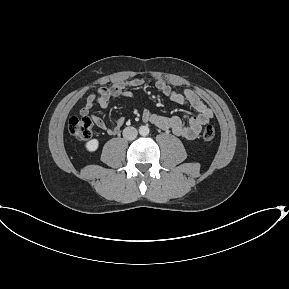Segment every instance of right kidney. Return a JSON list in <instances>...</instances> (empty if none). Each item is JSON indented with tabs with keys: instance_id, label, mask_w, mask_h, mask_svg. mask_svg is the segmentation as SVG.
<instances>
[{
	"instance_id": "1",
	"label": "right kidney",
	"mask_w": 289,
	"mask_h": 289,
	"mask_svg": "<svg viewBox=\"0 0 289 289\" xmlns=\"http://www.w3.org/2000/svg\"><path fill=\"white\" fill-rule=\"evenodd\" d=\"M99 141L97 139H92L86 142L85 148L89 152H94L98 149Z\"/></svg>"
}]
</instances>
